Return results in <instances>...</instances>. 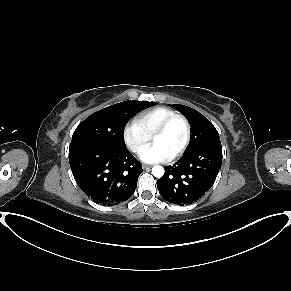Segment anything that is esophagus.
Listing matches in <instances>:
<instances>
[{
  "label": "esophagus",
  "instance_id": "34e87169",
  "mask_svg": "<svg viewBox=\"0 0 291 291\" xmlns=\"http://www.w3.org/2000/svg\"><path fill=\"white\" fill-rule=\"evenodd\" d=\"M142 167H143V169H148L150 166L147 164H143Z\"/></svg>",
  "mask_w": 291,
  "mask_h": 291
}]
</instances>
